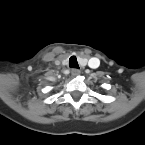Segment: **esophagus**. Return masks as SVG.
Listing matches in <instances>:
<instances>
[{
	"mask_svg": "<svg viewBox=\"0 0 145 145\" xmlns=\"http://www.w3.org/2000/svg\"><path fill=\"white\" fill-rule=\"evenodd\" d=\"M71 74H72V76L76 77V76L80 75V70L73 68L71 70Z\"/></svg>",
	"mask_w": 145,
	"mask_h": 145,
	"instance_id": "34e87169",
	"label": "esophagus"
}]
</instances>
